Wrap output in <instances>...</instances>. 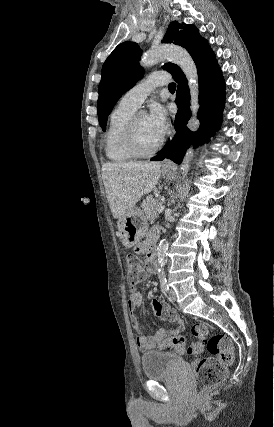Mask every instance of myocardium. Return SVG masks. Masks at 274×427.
<instances>
[{"instance_id": "f54148a6", "label": "myocardium", "mask_w": 274, "mask_h": 427, "mask_svg": "<svg viewBox=\"0 0 274 427\" xmlns=\"http://www.w3.org/2000/svg\"><path fill=\"white\" fill-rule=\"evenodd\" d=\"M141 113L144 112H138L132 116L130 121L128 122L123 136V142L126 150L129 152V154L136 159H147L154 157L164 146V138L160 140V142L149 152H141L137 148L136 144V125L138 117Z\"/></svg>"}]
</instances>
